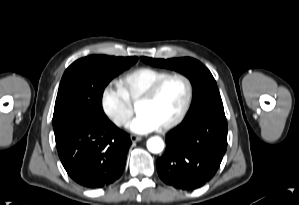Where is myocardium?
<instances>
[{
    "label": "myocardium",
    "mask_w": 299,
    "mask_h": 205,
    "mask_svg": "<svg viewBox=\"0 0 299 205\" xmlns=\"http://www.w3.org/2000/svg\"><path fill=\"white\" fill-rule=\"evenodd\" d=\"M175 78L180 79L184 82L186 86V97L179 113L172 120L159 127L161 131H166L174 128L175 126L180 124L187 115L194 94L193 84L189 77L182 73H169L163 76L162 78L158 79L156 82H154L137 100L136 106L142 103L150 102L158 94V92L161 90V88L165 85L166 82Z\"/></svg>",
    "instance_id": "obj_1"
}]
</instances>
